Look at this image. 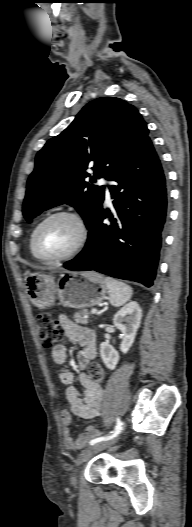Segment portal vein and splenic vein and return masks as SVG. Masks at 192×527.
<instances>
[{
  "label": "portal vein and splenic vein",
  "mask_w": 192,
  "mask_h": 527,
  "mask_svg": "<svg viewBox=\"0 0 192 527\" xmlns=\"http://www.w3.org/2000/svg\"><path fill=\"white\" fill-rule=\"evenodd\" d=\"M91 313H92V314H96V313H97V310H96V309H92V310H91Z\"/></svg>",
  "instance_id": "18ae733b"
}]
</instances>
